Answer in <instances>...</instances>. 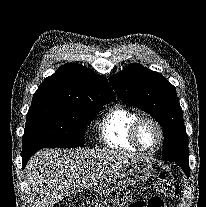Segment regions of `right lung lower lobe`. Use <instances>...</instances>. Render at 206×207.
Masks as SVG:
<instances>
[{
  "label": "right lung lower lobe",
  "instance_id": "right-lung-lower-lobe-1",
  "mask_svg": "<svg viewBox=\"0 0 206 207\" xmlns=\"http://www.w3.org/2000/svg\"><path fill=\"white\" fill-rule=\"evenodd\" d=\"M33 153H26L22 154V167L24 168L26 163L28 162L29 158L31 157Z\"/></svg>",
  "mask_w": 206,
  "mask_h": 207
}]
</instances>
